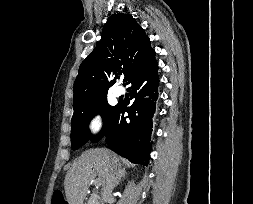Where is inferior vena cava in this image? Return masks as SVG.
I'll return each mask as SVG.
<instances>
[{
    "mask_svg": "<svg viewBox=\"0 0 253 204\" xmlns=\"http://www.w3.org/2000/svg\"><path fill=\"white\" fill-rule=\"evenodd\" d=\"M117 179L118 173L113 169H111L102 187V197L104 200H107L110 197L112 190L115 187Z\"/></svg>",
    "mask_w": 253,
    "mask_h": 204,
    "instance_id": "1",
    "label": "inferior vena cava"
}]
</instances>
